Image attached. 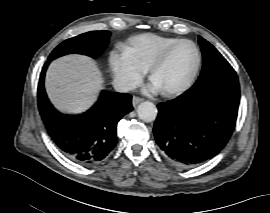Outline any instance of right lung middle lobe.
I'll list each match as a JSON object with an SVG mask.
<instances>
[{"label":"right lung middle lobe","instance_id":"1","mask_svg":"<svg viewBox=\"0 0 270 213\" xmlns=\"http://www.w3.org/2000/svg\"><path fill=\"white\" fill-rule=\"evenodd\" d=\"M110 34L109 31H91L67 39L52 51L48 60L52 61L62 55L71 53L96 57L108 44Z\"/></svg>","mask_w":270,"mask_h":213}]
</instances>
